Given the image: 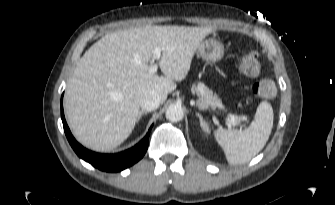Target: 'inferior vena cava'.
I'll return each instance as SVG.
<instances>
[{"mask_svg": "<svg viewBox=\"0 0 335 205\" xmlns=\"http://www.w3.org/2000/svg\"><path fill=\"white\" fill-rule=\"evenodd\" d=\"M161 102L160 95L155 90H149L143 93L140 98V107L144 111L156 110Z\"/></svg>", "mask_w": 335, "mask_h": 205, "instance_id": "inferior-vena-cava-1", "label": "inferior vena cava"}]
</instances>
